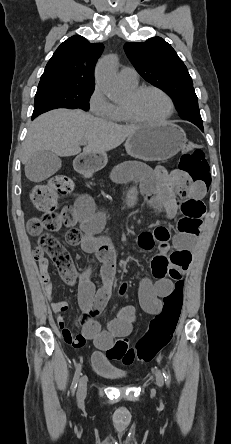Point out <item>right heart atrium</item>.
<instances>
[{"label": "right heart atrium", "instance_id": "1", "mask_svg": "<svg viewBox=\"0 0 231 444\" xmlns=\"http://www.w3.org/2000/svg\"><path fill=\"white\" fill-rule=\"evenodd\" d=\"M90 111L102 118L110 119L114 112V104L107 98L99 85H96L89 97Z\"/></svg>", "mask_w": 231, "mask_h": 444}]
</instances>
